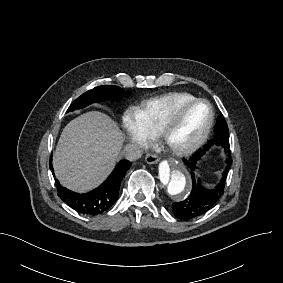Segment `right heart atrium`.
<instances>
[{
  "mask_svg": "<svg viewBox=\"0 0 283 283\" xmlns=\"http://www.w3.org/2000/svg\"><path fill=\"white\" fill-rule=\"evenodd\" d=\"M117 134L124 150L132 155L142 154L152 143L149 129L139 111L133 106L124 109Z\"/></svg>",
  "mask_w": 283,
  "mask_h": 283,
  "instance_id": "1",
  "label": "right heart atrium"
}]
</instances>
